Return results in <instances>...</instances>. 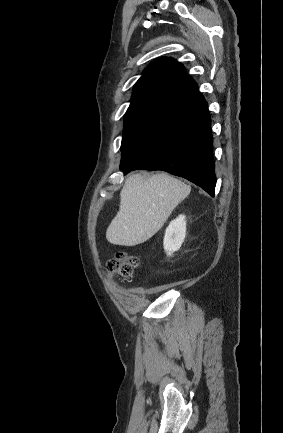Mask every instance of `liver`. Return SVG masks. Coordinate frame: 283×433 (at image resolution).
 Returning a JSON list of instances; mask_svg holds the SVG:
<instances>
[{"label":"liver","mask_w":283,"mask_h":433,"mask_svg":"<svg viewBox=\"0 0 283 433\" xmlns=\"http://www.w3.org/2000/svg\"><path fill=\"white\" fill-rule=\"evenodd\" d=\"M190 190L191 186L166 172L149 178L131 174L120 192L116 217L106 231L107 241L124 247L145 243L163 227L173 208Z\"/></svg>","instance_id":"liver-1"}]
</instances>
